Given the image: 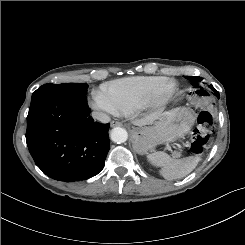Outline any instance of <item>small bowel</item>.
<instances>
[{"label":"small bowel","instance_id":"obj_1","mask_svg":"<svg viewBox=\"0 0 245 245\" xmlns=\"http://www.w3.org/2000/svg\"><path fill=\"white\" fill-rule=\"evenodd\" d=\"M188 105L194 111L208 113L216 109L217 103L212 92L196 90L190 93Z\"/></svg>","mask_w":245,"mask_h":245}]
</instances>
